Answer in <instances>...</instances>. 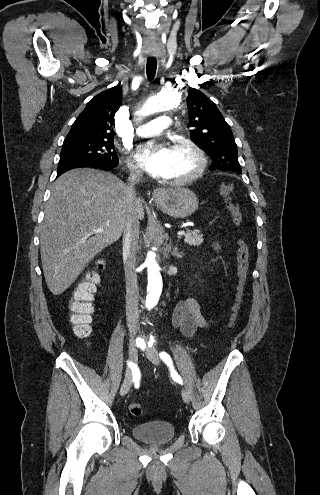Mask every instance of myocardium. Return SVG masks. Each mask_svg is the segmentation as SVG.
<instances>
[{
    "instance_id": "myocardium-1",
    "label": "myocardium",
    "mask_w": 320,
    "mask_h": 495,
    "mask_svg": "<svg viewBox=\"0 0 320 495\" xmlns=\"http://www.w3.org/2000/svg\"><path fill=\"white\" fill-rule=\"evenodd\" d=\"M171 147H183L188 150L194 157L195 167L181 178L173 179L172 182L178 185H184L197 179L205 170L207 160L203 150L192 140L188 138H175L171 141Z\"/></svg>"
}]
</instances>
